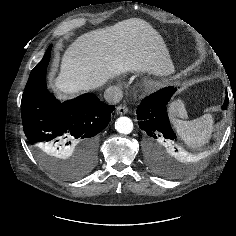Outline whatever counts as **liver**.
<instances>
[{"instance_id": "6515ba94", "label": "liver", "mask_w": 236, "mask_h": 236, "mask_svg": "<svg viewBox=\"0 0 236 236\" xmlns=\"http://www.w3.org/2000/svg\"><path fill=\"white\" fill-rule=\"evenodd\" d=\"M139 71L163 76L174 69L158 31L144 20L131 18L74 40L64 52L54 85L64 94L75 95L117 75ZM182 111L178 103L171 107L174 114Z\"/></svg>"}]
</instances>
